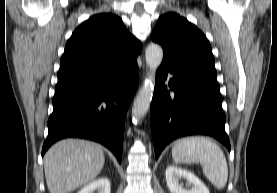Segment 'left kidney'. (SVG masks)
<instances>
[{
	"label": "left kidney",
	"mask_w": 277,
	"mask_h": 193,
	"mask_svg": "<svg viewBox=\"0 0 277 193\" xmlns=\"http://www.w3.org/2000/svg\"><path fill=\"white\" fill-rule=\"evenodd\" d=\"M166 183L171 193H209L205 184L193 173L180 167L170 165L166 168ZM187 181L186 188L179 183L181 179ZM191 188H187L190 187Z\"/></svg>",
	"instance_id": "left-kidney-1"
}]
</instances>
